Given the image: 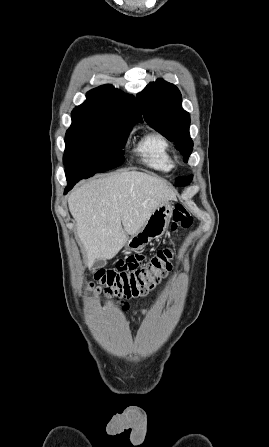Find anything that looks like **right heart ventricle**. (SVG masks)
Returning <instances> with one entry per match:
<instances>
[{"mask_svg": "<svg viewBox=\"0 0 269 447\" xmlns=\"http://www.w3.org/2000/svg\"><path fill=\"white\" fill-rule=\"evenodd\" d=\"M137 151L142 162L155 170L168 172L174 166L169 142L161 134L155 133L146 137Z\"/></svg>", "mask_w": 269, "mask_h": 447, "instance_id": "e07e8e85", "label": "right heart ventricle"}]
</instances>
